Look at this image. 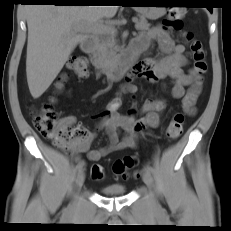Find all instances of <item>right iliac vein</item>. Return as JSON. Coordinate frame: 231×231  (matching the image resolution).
I'll list each match as a JSON object with an SVG mask.
<instances>
[{
  "label": "right iliac vein",
  "mask_w": 231,
  "mask_h": 231,
  "mask_svg": "<svg viewBox=\"0 0 231 231\" xmlns=\"http://www.w3.org/2000/svg\"><path fill=\"white\" fill-rule=\"evenodd\" d=\"M84 181H85V174L83 171H80L77 174L76 181H75L77 189H80L82 187Z\"/></svg>",
  "instance_id": "1"
}]
</instances>
